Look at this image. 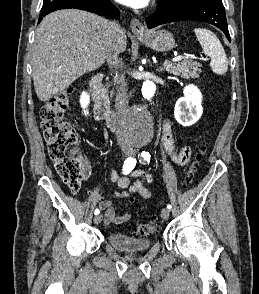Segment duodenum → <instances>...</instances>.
<instances>
[{"instance_id":"duodenum-1","label":"duodenum","mask_w":259,"mask_h":294,"mask_svg":"<svg viewBox=\"0 0 259 294\" xmlns=\"http://www.w3.org/2000/svg\"><path fill=\"white\" fill-rule=\"evenodd\" d=\"M103 74L94 75L89 81V93L94 101V115L99 121L105 122L111 130L120 126L117 114L111 109L107 92L102 87Z\"/></svg>"}]
</instances>
